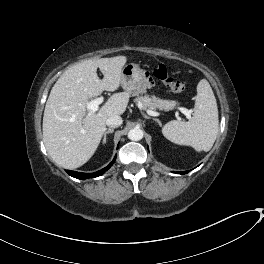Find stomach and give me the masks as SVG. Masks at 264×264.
Returning a JSON list of instances; mask_svg holds the SVG:
<instances>
[{"label":"stomach","instance_id":"stomach-1","mask_svg":"<svg viewBox=\"0 0 264 264\" xmlns=\"http://www.w3.org/2000/svg\"><path fill=\"white\" fill-rule=\"evenodd\" d=\"M145 81V73L139 65L129 63L123 66L121 72V86L129 94L135 95L141 92Z\"/></svg>","mask_w":264,"mask_h":264}]
</instances>
